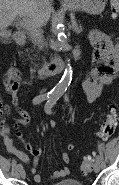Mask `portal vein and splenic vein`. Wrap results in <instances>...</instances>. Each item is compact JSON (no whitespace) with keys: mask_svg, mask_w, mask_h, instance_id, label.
<instances>
[{"mask_svg":"<svg viewBox=\"0 0 119 185\" xmlns=\"http://www.w3.org/2000/svg\"><path fill=\"white\" fill-rule=\"evenodd\" d=\"M21 26H22L23 28H26V29L30 30L32 33H35V34L41 36V33H40L39 31H37L36 28L33 27V26L31 25V23H30L28 20H25V19H24V20L21 22Z\"/></svg>","mask_w":119,"mask_h":185,"instance_id":"portal-vein-and-splenic-vein-1","label":"portal vein and splenic vein"}]
</instances>
